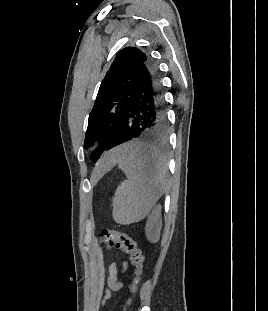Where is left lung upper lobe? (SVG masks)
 Masks as SVG:
<instances>
[{"instance_id": "1", "label": "left lung upper lobe", "mask_w": 268, "mask_h": 311, "mask_svg": "<svg viewBox=\"0 0 268 311\" xmlns=\"http://www.w3.org/2000/svg\"><path fill=\"white\" fill-rule=\"evenodd\" d=\"M150 56L136 47L119 51L103 79L95 104L89 114L85 148L100 139V146L92 154L94 162L116 134L123 121L140 66Z\"/></svg>"}]
</instances>
